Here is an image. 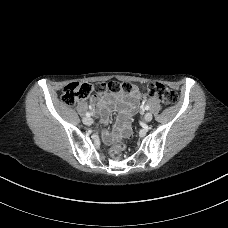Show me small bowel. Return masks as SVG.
<instances>
[{"label":"small bowel","instance_id":"small-bowel-1","mask_svg":"<svg viewBox=\"0 0 228 228\" xmlns=\"http://www.w3.org/2000/svg\"><path fill=\"white\" fill-rule=\"evenodd\" d=\"M139 100L140 94L138 92H134L130 97L107 92L99 97L94 96L90 99L91 104L98 110L104 126L107 125L112 111L119 112L118 122L114 131L112 133L105 131L107 142H112L130 134L131 128L128 124V117L137 110Z\"/></svg>","mask_w":228,"mask_h":228}]
</instances>
